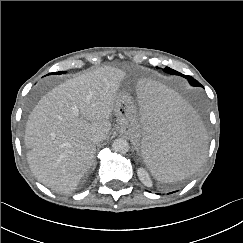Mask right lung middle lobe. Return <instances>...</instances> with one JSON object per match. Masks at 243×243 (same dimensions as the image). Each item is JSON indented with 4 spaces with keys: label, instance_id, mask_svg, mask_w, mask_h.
<instances>
[{
    "label": "right lung middle lobe",
    "instance_id": "right-lung-middle-lobe-1",
    "mask_svg": "<svg viewBox=\"0 0 243 243\" xmlns=\"http://www.w3.org/2000/svg\"><path fill=\"white\" fill-rule=\"evenodd\" d=\"M62 73H64L63 71H61V72H57V73H54V74H62Z\"/></svg>",
    "mask_w": 243,
    "mask_h": 243
}]
</instances>
